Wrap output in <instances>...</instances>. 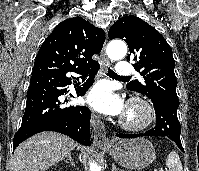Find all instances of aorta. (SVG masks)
Returning a JSON list of instances; mask_svg holds the SVG:
<instances>
[{
    "label": "aorta",
    "mask_w": 199,
    "mask_h": 171,
    "mask_svg": "<svg viewBox=\"0 0 199 171\" xmlns=\"http://www.w3.org/2000/svg\"><path fill=\"white\" fill-rule=\"evenodd\" d=\"M107 55L111 60L122 59L127 53V46L123 41L113 40L107 45ZM90 171H101V168L95 164H89Z\"/></svg>",
    "instance_id": "762f6f07"
}]
</instances>
